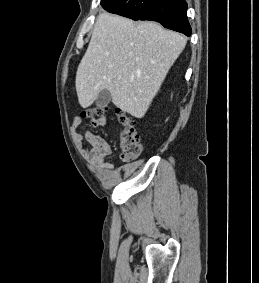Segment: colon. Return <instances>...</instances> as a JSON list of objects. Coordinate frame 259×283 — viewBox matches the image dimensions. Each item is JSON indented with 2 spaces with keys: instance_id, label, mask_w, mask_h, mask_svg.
<instances>
[{
  "instance_id": "colon-1",
  "label": "colon",
  "mask_w": 259,
  "mask_h": 283,
  "mask_svg": "<svg viewBox=\"0 0 259 283\" xmlns=\"http://www.w3.org/2000/svg\"><path fill=\"white\" fill-rule=\"evenodd\" d=\"M106 108H88L82 112V117L102 116ZM116 119L121 127L120 139L122 147V159L124 162L135 160L142 151V144L135 125L131 118L123 111L116 112Z\"/></svg>"
}]
</instances>
